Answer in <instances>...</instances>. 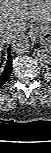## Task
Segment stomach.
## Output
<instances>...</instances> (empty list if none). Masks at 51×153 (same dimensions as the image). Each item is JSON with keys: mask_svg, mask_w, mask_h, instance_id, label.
Wrapping results in <instances>:
<instances>
[{"mask_svg": "<svg viewBox=\"0 0 51 153\" xmlns=\"http://www.w3.org/2000/svg\"><path fill=\"white\" fill-rule=\"evenodd\" d=\"M35 33L39 39L42 49L51 52V24L35 27Z\"/></svg>", "mask_w": 51, "mask_h": 153, "instance_id": "obj_1", "label": "stomach"}]
</instances>
